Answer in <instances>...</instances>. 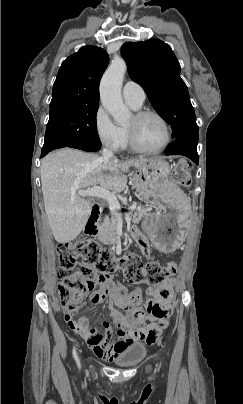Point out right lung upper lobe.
Wrapping results in <instances>:
<instances>
[{
    "label": "right lung upper lobe",
    "instance_id": "obj_1",
    "mask_svg": "<svg viewBox=\"0 0 243 404\" xmlns=\"http://www.w3.org/2000/svg\"><path fill=\"white\" fill-rule=\"evenodd\" d=\"M105 50L82 47L63 61L53 85L50 107L65 103H98L99 82L108 65Z\"/></svg>",
    "mask_w": 243,
    "mask_h": 404
}]
</instances>
